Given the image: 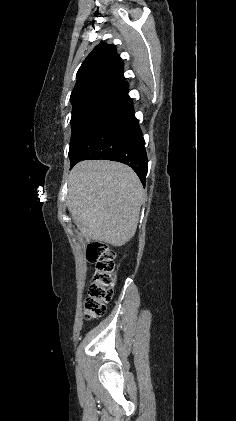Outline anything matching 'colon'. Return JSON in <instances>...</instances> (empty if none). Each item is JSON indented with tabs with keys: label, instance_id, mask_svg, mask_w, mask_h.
I'll use <instances>...</instances> for the list:
<instances>
[{
	"label": "colon",
	"instance_id": "obj_1",
	"mask_svg": "<svg viewBox=\"0 0 236 421\" xmlns=\"http://www.w3.org/2000/svg\"><path fill=\"white\" fill-rule=\"evenodd\" d=\"M87 259L94 264V270L84 303V315L87 319H94L105 313L112 298L117 264L114 251L102 242L88 246Z\"/></svg>",
	"mask_w": 236,
	"mask_h": 421
}]
</instances>
